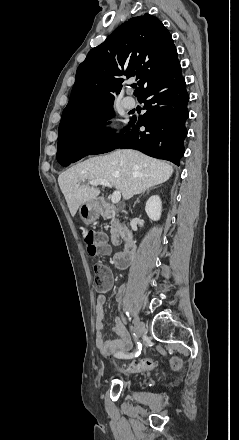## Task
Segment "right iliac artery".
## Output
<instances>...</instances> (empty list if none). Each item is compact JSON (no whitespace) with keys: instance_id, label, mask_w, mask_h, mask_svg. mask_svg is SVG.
<instances>
[{"instance_id":"right-iliac-artery-1","label":"right iliac artery","mask_w":239,"mask_h":440,"mask_svg":"<svg viewBox=\"0 0 239 440\" xmlns=\"http://www.w3.org/2000/svg\"><path fill=\"white\" fill-rule=\"evenodd\" d=\"M127 314H128V313H127ZM131 329H132V326H131ZM133 335L136 336L135 333H133ZM140 351H141V349H140V344H139V345H138V349H137L135 352L130 353V354L118 353V354H116L115 356L118 357V358H127V359H131V358H134V357L139 356Z\"/></svg>"}]
</instances>
